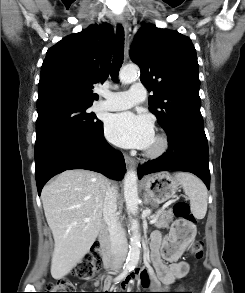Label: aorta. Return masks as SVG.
<instances>
[{
    "mask_svg": "<svg viewBox=\"0 0 245 293\" xmlns=\"http://www.w3.org/2000/svg\"><path fill=\"white\" fill-rule=\"evenodd\" d=\"M138 67L136 65L125 66L119 73V79L122 83L129 84L138 78ZM137 173L130 169L124 177V198L128 215H136L138 213V185ZM132 236L130 239V251L126 260V266L134 268L137 266L140 258V233L139 222L136 219L131 221Z\"/></svg>",
    "mask_w": 245,
    "mask_h": 293,
    "instance_id": "1",
    "label": "aorta"
}]
</instances>
